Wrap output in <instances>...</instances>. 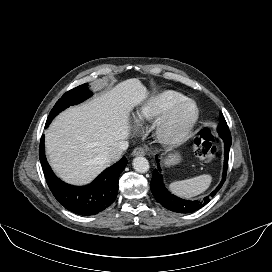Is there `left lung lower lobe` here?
Instances as JSON below:
<instances>
[{"mask_svg": "<svg viewBox=\"0 0 272 272\" xmlns=\"http://www.w3.org/2000/svg\"><path fill=\"white\" fill-rule=\"evenodd\" d=\"M224 168H223V177L219 184V186L211 192L208 196L200 200H184L178 198L171 194L163 184V176L161 174V169L159 166V160L156 157L157 161V169L153 171L152 181L150 183L151 191L155 197V199L166 209L171 210L173 212L178 213H192L194 211L199 210L203 206H205L218 192V190L222 187L227 174L228 167V158H229V150L231 146V138H224Z\"/></svg>", "mask_w": 272, "mask_h": 272, "instance_id": "0a47b994", "label": "left lung lower lobe"}]
</instances>
